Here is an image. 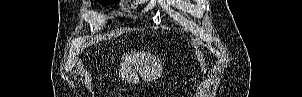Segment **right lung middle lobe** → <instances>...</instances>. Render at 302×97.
<instances>
[{
  "instance_id": "1",
  "label": "right lung middle lobe",
  "mask_w": 302,
  "mask_h": 97,
  "mask_svg": "<svg viewBox=\"0 0 302 97\" xmlns=\"http://www.w3.org/2000/svg\"><path fill=\"white\" fill-rule=\"evenodd\" d=\"M96 1H98L102 5H110L118 2V0H96Z\"/></svg>"
}]
</instances>
